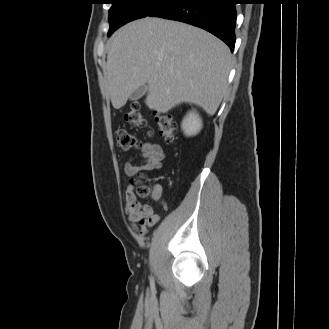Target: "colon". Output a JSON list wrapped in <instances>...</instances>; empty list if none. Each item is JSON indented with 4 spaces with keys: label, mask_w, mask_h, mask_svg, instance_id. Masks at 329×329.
<instances>
[{
    "label": "colon",
    "mask_w": 329,
    "mask_h": 329,
    "mask_svg": "<svg viewBox=\"0 0 329 329\" xmlns=\"http://www.w3.org/2000/svg\"><path fill=\"white\" fill-rule=\"evenodd\" d=\"M126 122L140 129L146 128V121L143 117L141 106L138 102H133L129 105L127 112L124 115ZM156 125L158 132L167 142H173L176 139L177 125L173 120L171 113L161 112L156 115ZM115 137L118 146L122 150H131L139 147V143L134 135L124 129H118L115 132ZM135 196L143 199L151 198L158 200L159 197L153 189L141 182L139 179H133L129 185Z\"/></svg>",
    "instance_id": "1"
}]
</instances>
